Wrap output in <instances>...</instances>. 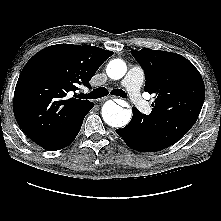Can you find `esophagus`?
Instances as JSON below:
<instances>
[{
	"mask_svg": "<svg viewBox=\"0 0 221 221\" xmlns=\"http://www.w3.org/2000/svg\"><path fill=\"white\" fill-rule=\"evenodd\" d=\"M108 98H109V97L102 98L101 101H105V100H107ZM111 98H113V97H111ZM114 100L117 101L118 99H114Z\"/></svg>",
	"mask_w": 221,
	"mask_h": 221,
	"instance_id": "34e87169",
	"label": "esophagus"
}]
</instances>
